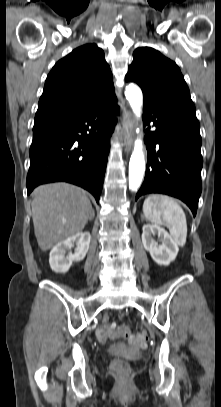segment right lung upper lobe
<instances>
[{
    "instance_id": "right-lung-upper-lobe-1",
    "label": "right lung upper lobe",
    "mask_w": 221,
    "mask_h": 407,
    "mask_svg": "<svg viewBox=\"0 0 221 407\" xmlns=\"http://www.w3.org/2000/svg\"><path fill=\"white\" fill-rule=\"evenodd\" d=\"M116 97L102 49L86 44L59 60L45 81L34 125L72 116Z\"/></svg>"
}]
</instances>
